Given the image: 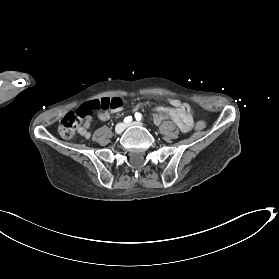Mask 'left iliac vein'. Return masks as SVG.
Segmentation results:
<instances>
[{
    "mask_svg": "<svg viewBox=\"0 0 279 279\" xmlns=\"http://www.w3.org/2000/svg\"><path fill=\"white\" fill-rule=\"evenodd\" d=\"M132 126H142V124L136 121L126 124V127H132Z\"/></svg>",
    "mask_w": 279,
    "mask_h": 279,
    "instance_id": "1",
    "label": "left iliac vein"
}]
</instances>
